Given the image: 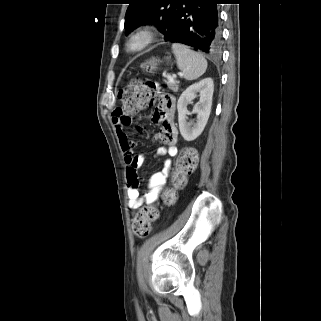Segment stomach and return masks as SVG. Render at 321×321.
Returning a JSON list of instances; mask_svg holds the SVG:
<instances>
[{
	"label": "stomach",
	"mask_w": 321,
	"mask_h": 321,
	"mask_svg": "<svg viewBox=\"0 0 321 321\" xmlns=\"http://www.w3.org/2000/svg\"><path fill=\"white\" fill-rule=\"evenodd\" d=\"M170 61V59H168V62ZM160 60L156 59V58H151L149 60H147L143 65L142 68L146 73H153L154 71L157 70L158 65L160 64Z\"/></svg>",
	"instance_id": "1"
}]
</instances>
